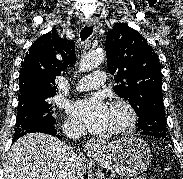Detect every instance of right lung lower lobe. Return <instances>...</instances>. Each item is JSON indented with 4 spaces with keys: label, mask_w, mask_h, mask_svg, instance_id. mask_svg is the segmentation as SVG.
<instances>
[{
    "label": "right lung lower lobe",
    "mask_w": 183,
    "mask_h": 179,
    "mask_svg": "<svg viewBox=\"0 0 183 179\" xmlns=\"http://www.w3.org/2000/svg\"><path fill=\"white\" fill-rule=\"evenodd\" d=\"M36 132L45 133V134H49V135L57 134V130H55V128L53 126H46V127L35 128L32 130L24 131L23 133H20V135L14 136V140L20 138L23 135H26L27 133H36Z\"/></svg>",
    "instance_id": "obj_1"
}]
</instances>
